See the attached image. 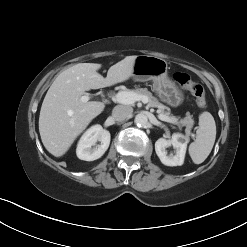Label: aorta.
Instances as JSON below:
<instances>
[{
	"instance_id": "1",
	"label": "aorta",
	"mask_w": 247,
	"mask_h": 247,
	"mask_svg": "<svg viewBox=\"0 0 247 247\" xmlns=\"http://www.w3.org/2000/svg\"><path fill=\"white\" fill-rule=\"evenodd\" d=\"M134 122L139 127H145L148 124V118L145 114L139 113L135 116Z\"/></svg>"
}]
</instances>
